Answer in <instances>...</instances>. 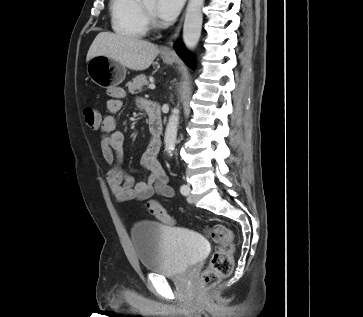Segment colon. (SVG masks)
<instances>
[{
    "label": "colon",
    "mask_w": 363,
    "mask_h": 317,
    "mask_svg": "<svg viewBox=\"0 0 363 317\" xmlns=\"http://www.w3.org/2000/svg\"><path fill=\"white\" fill-rule=\"evenodd\" d=\"M86 125L92 130H99L101 127V115L98 110L86 107L83 110ZM147 208L152 215L164 224H173V218L157 202L150 201ZM210 237L217 244L213 252L208 268L200 276V289L209 290L221 279L228 277L233 269V233L223 225H216L209 230Z\"/></svg>",
    "instance_id": "5ec220e1"
}]
</instances>
